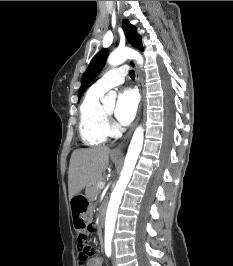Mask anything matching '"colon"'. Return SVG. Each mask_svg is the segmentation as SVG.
<instances>
[{
	"instance_id": "colon-1",
	"label": "colon",
	"mask_w": 233,
	"mask_h": 266,
	"mask_svg": "<svg viewBox=\"0 0 233 266\" xmlns=\"http://www.w3.org/2000/svg\"><path fill=\"white\" fill-rule=\"evenodd\" d=\"M95 231V225H89L86 232H80L77 237L79 250V265L84 266L87 259L94 254V248L87 242V234Z\"/></svg>"
}]
</instances>
